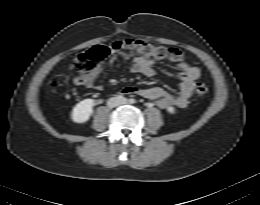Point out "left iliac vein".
Masks as SVG:
<instances>
[{
	"instance_id": "1",
	"label": "left iliac vein",
	"mask_w": 260,
	"mask_h": 205,
	"mask_svg": "<svg viewBox=\"0 0 260 205\" xmlns=\"http://www.w3.org/2000/svg\"><path fill=\"white\" fill-rule=\"evenodd\" d=\"M128 103H129L128 99H123V100L118 101V104H120V105H124V104H128Z\"/></svg>"
}]
</instances>
